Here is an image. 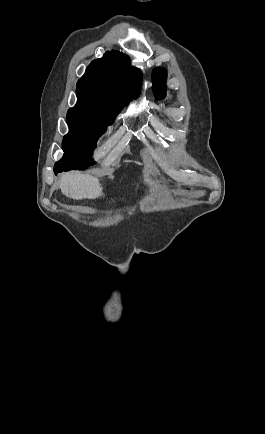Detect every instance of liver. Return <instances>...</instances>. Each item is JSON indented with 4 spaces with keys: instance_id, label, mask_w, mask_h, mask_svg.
I'll return each mask as SVG.
<instances>
[{
    "instance_id": "6515ba94",
    "label": "liver",
    "mask_w": 265,
    "mask_h": 434,
    "mask_svg": "<svg viewBox=\"0 0 265 434\" xmlns=\"http://www.w3.org/2000/svg\"><path fill=\"white\" fill-rule=\"evenodd\" d=\"M59 188L67 198L73 200H95L99 196H103L101 184L98 178L89 176V174H81V172H67L62 174L59 182Z\"/></svg>"
}]
</instances>
